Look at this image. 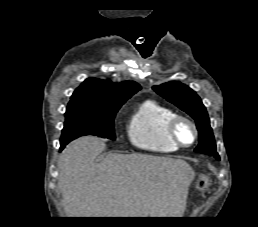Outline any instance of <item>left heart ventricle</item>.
Listing matches in <instances>:
<instances>
[{
  "instance_id": "1",
  "label": "left heart ventricle",
  "mask_w": 258,
  "mask_h": 227,
  "mask_svg": "<svg viewBox=\"0 0 258 227\" xmlns=\"http://www.w3.org/2000/svg\"><path fill=\"white\" fill-rule=\"evenodd\" d=\"M178 136L183 143L189 144L193 140V131L188 124L181 123L178 127Z\"/></svg>"
}]
</instances>
